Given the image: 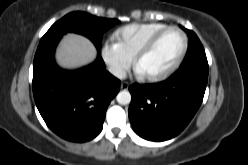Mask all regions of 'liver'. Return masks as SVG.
<instances>
[{"instance_id":"liver-1","label":"liver","mask_w":248,"mask_h":165,"mask_svg":"<svg viewBox=\"0 0 248 165\" xmlns=\"http://www.w3.org/2000/svg\"><path fill=\"white\" fill-rule=\"evenodd\" d=\"M96 54V48L89 39L69 33L57 48L56 61L62 68L77 69L93 62Z\"/></svg>"}]
</instances>
